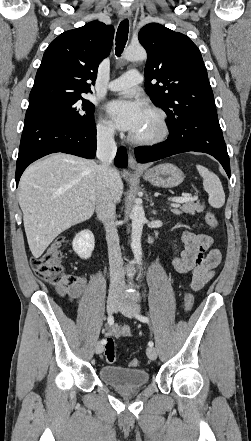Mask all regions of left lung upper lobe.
<instances>
[{
	"label": "left lung upper lobe",
	"instance_id": "1",
	"mask_svg": "<svg viewBox=\"0 0 251 441\" xmlns=\"http://www.w3.org/2000/svg\"><path fill=\"white\" fill-rule=\"evenodd\" d=\"M139 42L148 53L146 92L167 114L170 129L186 117L217 115L200 50L188 36L150 23L140 30Z\"/></svg>",
	"mask_w": 251,
	"mask_h": 441
}]
</instances>
